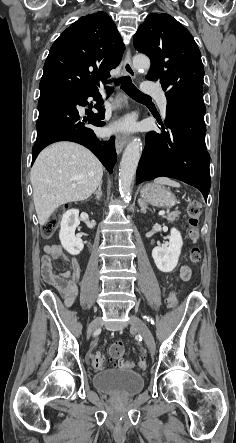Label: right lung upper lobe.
<instances>
[{
    "instance_id": "1",
    "label": "right lung upper lobe",
    "mask_w": 236,
    "mask_h": 443,
    "mask_svg": "<svg viewBox=\"0 0 236 443\" xmlns=\"http://www.w3.org/2000/svg\"><path fill=\"white\" fill-rule=\"evenodd\" d=\"M125 49L111 17L97 12L81 17L53 43L44 64L40 91H83L105 83Z\"/></svg>"
}]
</instances>
